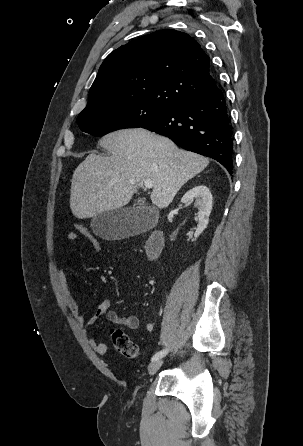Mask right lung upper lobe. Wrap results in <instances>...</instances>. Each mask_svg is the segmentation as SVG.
Segmentation results:
<instances>
[{"mask_svg": "<svg viewBox=\"0 0 303 446\" xmlns=\"http://www.w3.org/2000/svg\"><path fill=\"white\" fill-rule=\"evenodd\" d=\"M214 86L209 56L195 39L176 30H160L106 57L84 110L123 102L173 107Z\"/></svg>", "mask_w": 303, "mask_h": 446, "instance_id": "1", "label": "right lung upper lobe"}]
</instances>
